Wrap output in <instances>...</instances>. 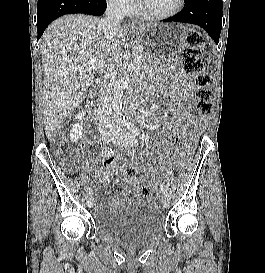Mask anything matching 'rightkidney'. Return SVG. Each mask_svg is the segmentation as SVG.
I'll use <instances>...</instances> for the list:
<instances>
[{"label":"right kidney","instance_id":"1","mask_svg":"<svg viewBox=\"0 0 265 273\" xmlns=\"http://www.w3.org/2000/svg\"><path fill=\"white\" fill-rule=\"evenodd\" d=\"M85 116V112H79L76 115V119L79 120L77 124H74L70 130V139L72 142L78 141L82 137V119Z\"/></svg>","mask_w":265,"mask_h":273}]
</instances>
